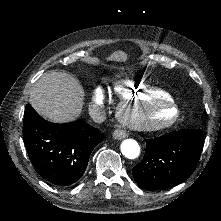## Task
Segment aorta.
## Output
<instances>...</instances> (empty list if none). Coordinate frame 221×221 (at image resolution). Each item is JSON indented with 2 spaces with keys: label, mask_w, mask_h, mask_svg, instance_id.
<instances>
[{
  "label": "aorta",
  "mask_w": 221,
  "mask_h": 221,
  "mask_svg": "<svg viewBox=\"0 0 221 221\" xmlns=\"http://www.w3.org/2000/svg\"><path fill=\"white\" fill-rule=\"evenodd\" d=\"M122 154L128 159H135L140 155V146L134 139H125L120 146Z\"/></svg>",
  "instance_id": "obj_1"
}]
</instances>
